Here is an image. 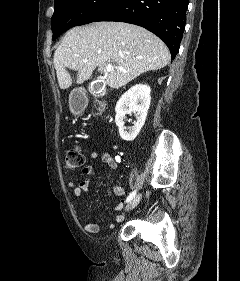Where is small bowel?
<instances>
[{"label": "small bowel", "mask_w": 240, "mask_h": 281, "mask_svg": "<svg viewBox=\"0 0 240 281\" xmlns=\"http://www.w3.org/2000/svg\"><path fill=\"white\" fill-rule=\"evenodd\" d=\"M89 158L91 160L101 159L107 165V167L110 169L117 168L116 160L113 157H111L108 153H99L97 151H92L89 154ZM81 172L86 177L85 179H83L79 183H77L75 180L71 179L67 183L68 188L73 191L74 196L76 198H80L82 196L83 192L89 191L90 178L95 173L92 166H85ZM113 191L118 196H124L126 193L125 189L122 186H120L118 183L114 184ZM123 206H124V203H123V201H121L118 204H116L115 206H113L112 210L114 212H119L122 210ZM115 220L120 222L123 220V216H117L115 218ZM113 228H114L113 223H109L107 225H99L97 223H86L84 225V229L89 233H99V232H102L105 230H110Z\"/></svg>", "instance_id": "small-bowel-1"}]
</instances>
